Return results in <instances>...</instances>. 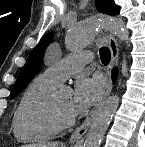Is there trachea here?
I'll return each instance as SVG.
<instances>
[{
    "label": "trachea",
    "instance_id": "trachea-1",
    "mask_svg": "<svg viewBox=\"0 0 145 147\" xmlns=\"http://www.w3.org/2000/svg\"><path fill=\"white\" fill-rule=\"evenodd\" d=\"M101 62L104 65H107L110 62L111 59V52L108 47H102L99 51Z\"/></svg>",
    "mask_w": 145,
    "mask_h": 147
}]
</instances>
